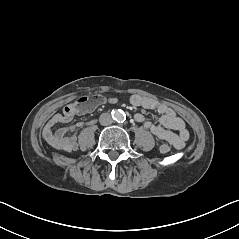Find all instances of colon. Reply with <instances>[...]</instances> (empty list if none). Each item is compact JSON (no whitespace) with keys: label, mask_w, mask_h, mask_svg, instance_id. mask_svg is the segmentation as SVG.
<instances>
[{"label":"colon","mask_w":239,"mask_h":239,"mask_svg":"<svg viewBox=\"0 0 239 239\" xmlns=\"http://www.w3.org/2000/svg\"><path fill=\"white\" fill-rule=\"evenodd\" d=\"M103 97L101 95H94V96H86L80 98L76 103H75V108L76 109H84L90 106L98 105L102 103ZM171 148L167 144H162L160 146V151L162 153H168L170 152Z\"/></svg>","instance_id":"obj_1"}]
</instances>
